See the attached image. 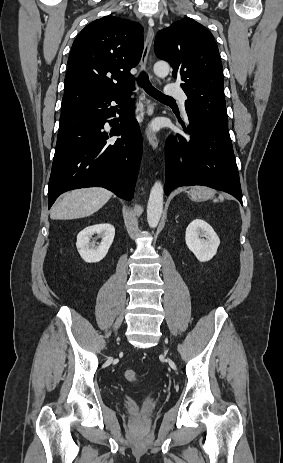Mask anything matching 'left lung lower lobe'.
Returning a JSON list of instances; mask_svg holds the SVG:
<instances>
[{
    "instance_id": "left-lung-lower-lobe-1",
    "label": "left lung lower lobe",
    "mask_w": 283,
    "mask_h": 463,
    "mask_svg": "<svg viewBox=\"0 0 283 463\" xmlns=\"http://www.w3.org/2000/svg\"><path fill=\"white\" fill-rule=\"evenodd\" d=\"M187 137H170L165 145V193L179 186L205 185L233 195L242 204L239 173L228 125L187 113Z\"/></svg>"
}]
</instances>
